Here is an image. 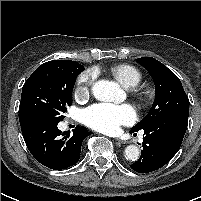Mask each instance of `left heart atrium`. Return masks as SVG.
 <instances>
[{"instance_id": "1", "label": "left heart atrium", "mask_w": 201, "mask_h": 201, "mask_svg": "<svg viewBox=\"0 0 201 201\" xmlns=\"http://www.w3.org/2000/svg\"><path fill=\"white\" fill-rule=\"evenodd\" d=\"M82 118L87 126L97 131L114 133L120 126L133 123L136 119V113L127 104L99 103L85 109Z\"/></svg>"}]
</instances>
